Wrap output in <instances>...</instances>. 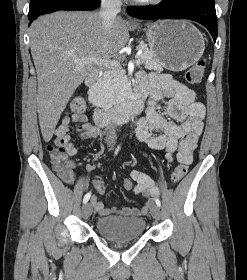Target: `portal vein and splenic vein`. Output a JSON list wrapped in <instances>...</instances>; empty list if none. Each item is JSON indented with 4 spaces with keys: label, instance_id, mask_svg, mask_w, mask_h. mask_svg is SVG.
Masks as SVG:
<instances>
[{
    "label": "portal vein and splenic vein",
    "instance_id": "18ae733b",
    "mask_svg": "<svg viewBox=\"0 0 247 280\" xmlns=\"http://www.w3.org/2000/svg\"><path fill=\"white\" fill-rule=\"evenodd\" d=\"M141 53V52H140ZM138 56V55H137ZM88 63H91V64H95V65H98V66H104V67H108V68H116V67H119V63L118 62H115V61H110V60H106V59H99L97 57H88V58H83L79 64L82 65V64H88ZM135 63L136 64H140V60L139 59H136L135 60Z\"/></svg>",
    "mask_w": 247,
    "mask_h": 280
}]
</instances>
